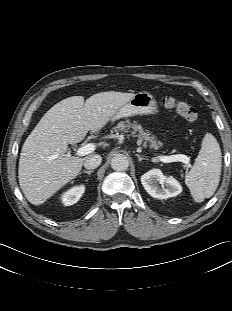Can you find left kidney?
<instances>
[{"label": "left kidney", "instance_id": "5707ae66", "mask_svg": "<svg viewBox=\"0 0 232 311\" xmlns=\"http://www.w3.org/2000/svg\"><path fill=\"white\" fill-rule=\"evenodd\" d=\"M145 190L154 198L166 199L182 192V186L172 176H165L159 169H152L141 176Z\"/></svg>", "mask_w": 232, "mask_h": 311}]
</instances>
